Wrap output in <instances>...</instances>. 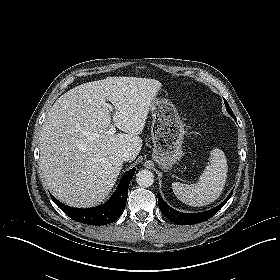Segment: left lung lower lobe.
Returning <instances> with one entry per match:
<instances>
[{
  "label": "left lung lower lobe",
  "instance_id": "1",
  "mask_svg": "<svg viewBox=\"0 0 280 280\" xmlns=\"http://www.w3.org/2000/svg\"><path fill=\"white\" fill-rule=\"evenodd\" d=\"M232 192L229 194V196L226 198L224 202H222L219 206L215 207L214 209H211L209 211L205 212H199V213H182L179 211L174 210L170 206H168L159 196L158 194V204L159 208L161 210V213L170 221H172L175 224L178 225H192L199 222H203L205 220H208L213 215H215L224 205L225 203L230 199Z\"/></svg>",
  "mask_w": 280,
  "mask_h": 280
}]
</instances>
